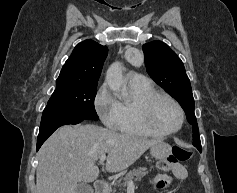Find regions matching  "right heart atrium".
Wrapping results in <instances>:
<instances>
[{
    "label": "right heart atrium",
    "mask_w": 237,
    "mask_h": 193,
    "mask_svg": "<svg viewBox=\"0 0 237 193\" xmlns=\"http://www.w3.org/2000/svg\"><path fill=\"white\" fill-rule=\"evenodd\" d=\"M94 107L100 120L109 128L117 130L120 120V102L107 83L101 85L94 97Z\"/></svg>",
    "instance_id": "d8ad5b80"
}]
</instances>
